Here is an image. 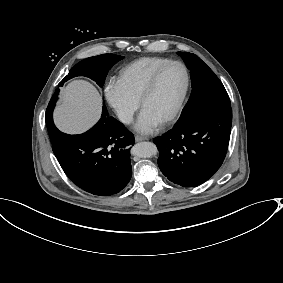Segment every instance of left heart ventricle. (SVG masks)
Wrapping results in <instances>:
<instances>
[{
  "label": "left heart ventricle",
  "mask_w": 283,
  "mask_h": 283,
  "mask_svg": "<svg viewBox=\"0 0 283 283\" xmlns=\"http://www.w3.org/2000/svg\"><path fill=\"white\" fill-rule=\"evenodd\" d=\"M185 73L180 65H172L159 77L153 92L143 102L142 109L148 110L160 121L175 108L184 89Z\"/></svg>",
  "instance_id": "1"
}]
</instances>
